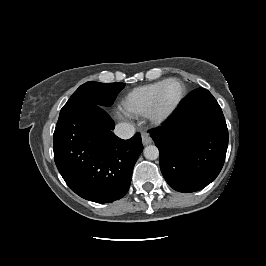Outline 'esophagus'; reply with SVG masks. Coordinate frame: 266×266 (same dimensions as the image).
I'll return each instance as SVG.
<instances>
[{
    "label": "esophagus",
    "mask_w": 266,
    "mask_h": 266,
    "mask_svg": "<svg viewBox=\"0 0 266 266\" xmlns=\"http://www.w3.org/2000/svg\"><path fill=\"white\" fill-rule=\"evenodd\" d=\"M142 143L144 145H149L152 143L151 137L145 132L142 133Z\"/></svg>",
    "instance_id": "1"
}]
</instances>
